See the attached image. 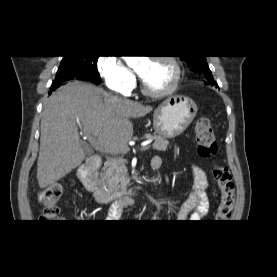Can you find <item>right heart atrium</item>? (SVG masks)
I'll return each instance as SVG.
<instances>
[{
    "label": "right heart atrium",
    "mask_w": 277,
    "mask_h": 277,
    "mask_svg": "<svg viewBox=\"0 0 277 277\" xmlns=\"http://www.w3.org/2000/svg\"><path fill=\"white\" fill-rule=\"evenodd\" d=\"M97 67L109 89L126 92L134 87L135 75L119 55L115 53L102 55L98 59Z\"/></svg>",
    "instance_id": "1"
}]
</instances>
